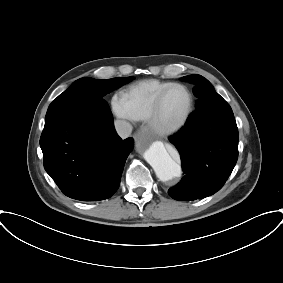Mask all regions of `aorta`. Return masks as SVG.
Wrapping results in <instances>:
<instances>
[{
    "instance_id": "762f6f07",
    "label": "aorta",
    "mask_w": 283,
    "mask_h": 283,
    "mask_svg": "<svg viewBox=\"0 0 283 283\" xmlns=\"http://www.w3.org/2000/svg\"><path fill=\"white\" fill-rule=\"evenodd\" d=\"M145 160L154 169L161 181H168L181 176V167L168 153L160 141L153 142L144 152Z\"/></svg>"
}]
</instances>
